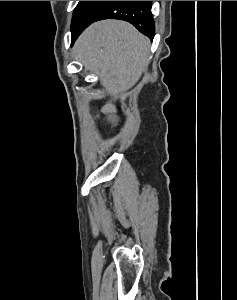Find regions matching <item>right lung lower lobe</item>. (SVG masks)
<instances>
[{
  "instance_id": "1",
  "label": "right lung lower lobe",
  "mask_w": 237,
  "mask_h": 300,
  "mask_svg": "<svg viewBox=\"0 0 237 300\" xmlns=\"http://www.w3.org/2000/svg\"><path fill=\"white\" fill-rule=\"evenodd\" d=\"M151 2L152 1H114L96 21L103 19L124 20L133 24L141 33L153 40L155 30L152 13L150 12ZM82 31L74 35L73 41L77 39Z\"/></svg>"
}]
</instances>
